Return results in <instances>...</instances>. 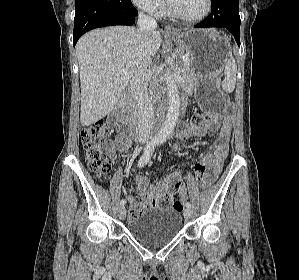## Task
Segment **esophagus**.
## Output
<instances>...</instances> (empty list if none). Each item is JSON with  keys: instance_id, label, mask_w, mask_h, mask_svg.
I'll return each instance as SVG.
<instances>
[{"instance_id": "obj_1", "label": "esophagus", "mask_w": 299, "mask_h": 280, "mask_svg": "<svg viewBox=\"0 0 299 280\" xmlns=\"http://www.w3.org/2000/svg\"><path fill=\"white\" fill-rule=\"evenodd\" d=\"M164 32L167 33V34H173V33H176V30L173 26L171 25H166L164 27Z\"/></svg>"}]
</instances>
